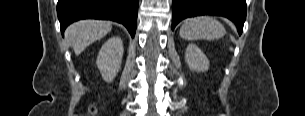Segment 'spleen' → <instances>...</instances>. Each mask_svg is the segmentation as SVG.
<instances>
[{"mask_svg":"<svg viewBox=\"0 0 305 116\" xmlns=\"http://www.w3.org/2000/svg\"><path fill=\"white\" fill-rule=\"evenodd\" d=\"M225 35L224 26L208 16L186 19L180 28V37L185 40H214Z\"/></svg>","mask_w":305,"mask_h":116,"instance_id":"spleen-1","label":"spleen"}]
</instances>
